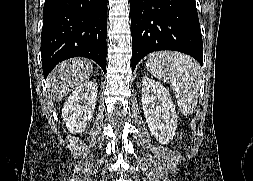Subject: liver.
I'll list each match as a JSON object with an SVG mask.
<instances>
[{
    "instance_id": "obj_1",
    "label": "liver",
    "mask_w": 253,
    "mask_h": 181,
    "mask_svg": "<svg viewBox=\"0 0 253 181\" xmlns=\"http://www.w3.org/2000/svg\"><path fill=\"white\" fill-rule=\"evenodd\" d=\"M93 71L91 61L74 58L61 63L50 75V86L61 101L75 86L84 83Z\"/></svg>"
}]
</instances>
